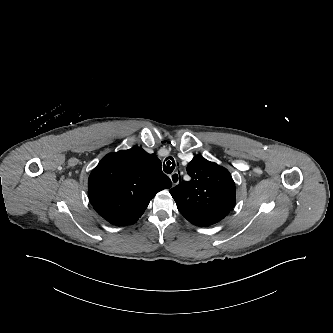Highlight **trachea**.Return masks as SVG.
<instances>
[{"label": "trachea", "instance_id": "obj_1", "mask_svg": "<svg viewBox=\"0 0 333 333\" xmlns=\"http://www.w3.org/2000/svg\"><path fill=\"white\" fill-rule=\"evenodd\" d=\"M166 161V163H165ZM163 163V170L165 173L170 174L176 167L173 157H167Z\"/></svg>", "mask_w": 333, "mask_h": 333}]
</instances>
